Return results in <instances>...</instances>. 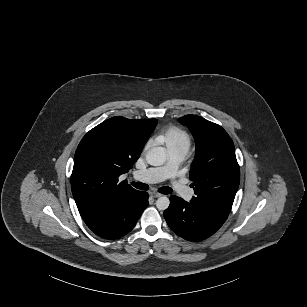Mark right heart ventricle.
Listing matches in <instances>:
<instances>
[{"label": "right heart ventricle", "mask_w": 307, "mask_h": 307, "mask_svg": "<svg viewBox=\"0 0 307 307\" xmlns=\"http://www.w3.org/2000/svg\"><path fill=\"white\" fill-rule=\"evenodd\" d=\"M158 138L165 143L169 152L175 150L188 151L191 144L189 136L176 129L160 131L158 133Z\"/></svg>", "instance_id": "1"}]
</instances>
